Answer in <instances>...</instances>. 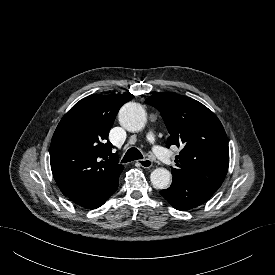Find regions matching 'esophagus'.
Masks as SVG:
<instances>
[{"label":"esophagus","instance_id":"34e87169","mask_svg":"<svg viewBox=\"0 0 275 275\" xmlns=\"http://www.w3.org/2000/svg\"><path fill=\"white\" fill-rule=\"evenodd\" d=\"M138 164L141 167L146 168V169L151 168L153 165L152 161L148 158L138 160Z\"/></svg>","mask_w":275,"mask_h":275}]
</instances>
